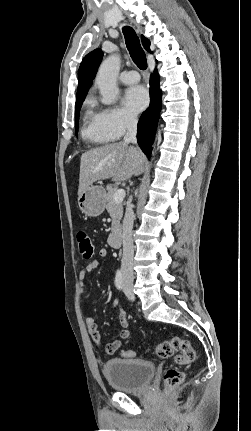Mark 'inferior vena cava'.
Masks as SVG:
<instances>
[{"instance_id":"602c4592","label":"inferior vena cava","mask_w":251,"mask_h":431,"mask_svg":"<svg viewBox=\"0 0 251 431\" xmlns=\"http://www.w3.org/2000/svg\"><path fill=\"white\" fill-rule=\"evenodd\" d=\"M137 117L129 115L127 119V132L124 136V143L135 144L137 141ZM135 219L134 212L131 206L126 209L123 220V256L121 260V271L123 279L133 280V257L134 245L132 239L133 222Z\"/></svg>"}]
</instances>
